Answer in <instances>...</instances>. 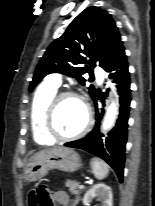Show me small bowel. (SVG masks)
<instances>
[{
  "label": "small bowel",
  "instance_id": "1",
  "mask_svg": "<svg viewBox=\"0 0 155 206\" xmlns=\"http://www.w3.org/2000/svg\"><path fill=\"white\" fill-rule=\"evenodd\" d=\"M50 203L48 206H65L68 201V195L64 191H48Z\"/></svg>",
  "mask_w": 155,
  "mask_h": 206
}]
</instances>
